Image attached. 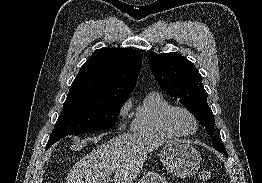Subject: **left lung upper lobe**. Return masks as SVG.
I'll return each instance as SVG.
<instances>
[{"label":"left lung upper lobe","instance_id":"left-lung-upper-lobe-1","mask_svg":"<svg viewBox=\"0 0 262 183\" xmlns=\"http://www.w3.org/2000/svg\"><path fill=\"white\" fill-rule=\"evenodd\" d=\"M150 69L160 87L170 96L179 99L213 136L212 146L227 153L218 135H214V116L207 104V92L202 76L192 62L179 53H146Z\"/></svg>","mask_w":262,"mask_h":183}]
</instances>
